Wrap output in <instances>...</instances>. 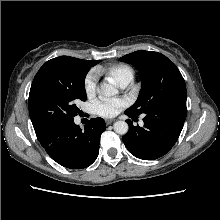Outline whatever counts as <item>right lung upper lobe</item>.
<instances>
[{
    "label": "right lung upper lobe",
    "mask_w": 220,
    "mask_h": 220,
    "mask_svg": "<svg viewBox=\"0 0 220 220\" xmlns=\"http://www.w3.org/2000/svg\"><path fill=\"white\" fill-rule=\"evenodd\" d=\"M55 59L67 60V61H72V62H77V63H82V64H92L93 61H95V60H82V59L73 58L69 56H60Z\"/></svg>",
    "instance_id": "right-lung-upper-lobe-1"
}]
</instances>
